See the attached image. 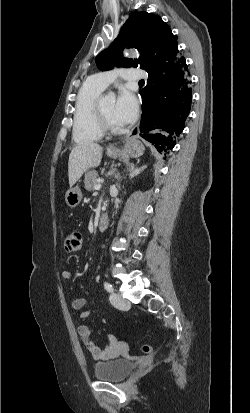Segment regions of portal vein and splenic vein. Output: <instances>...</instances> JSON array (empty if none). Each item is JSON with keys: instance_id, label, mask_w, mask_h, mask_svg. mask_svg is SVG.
I'll list each match as a JSON object with an SVG mask.
<instances>
[{"instance_id": "portal-vein-and-splenic-vein-1", "label": "portal vein and splenic vein", "mask_w": 250, "mask_h": 413, "mask_svg": "<svg viewBox=\"0 0 250 413\" xmlns=\"http://www.w3.org/2000/svg\"><path fill=\"white\" fill-rule=\"evenodd\" d=\"M94 189H95V190H100V189H101V184H96V185L94 186Z\"/></svg>"}]
</instances>
